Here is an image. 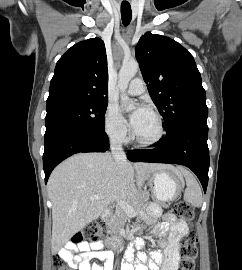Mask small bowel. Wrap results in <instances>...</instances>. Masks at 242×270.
<instances>
[{
    "label": "small bowel",
    "mask_w": 242,
    "mask_h": 270,
    "mask_svg": "<svg viewBox=\"0 0 242 270\" xmlns=\"http://www.w3.org/2000/svg\"><path fill=\"white\" fill-rule=\"evenodd\" d=\"M161 218V222L155 228L158 232L163 247V252L152 251L150 258L144 252L137 253V261H134L133 254L126 256V264L123 270H158L162 265L164 270H177L179 263L180 241L188 232L187 223L178 219L174 214H162L158 205L152 204L148 208V214L143 220H152ZM143 241L136 240L135 246L142 247ZM102 241L82 242L74 244L68 242L59 254L67 261L70 266L76 270H112L114 264L113 253L109 250H103ZM79 253H75V252ZM99 259L103 264L92 263L91 260Z\"/></svg>",
    "instance_id": "1"
}]
</instances>
